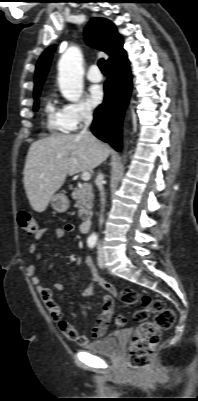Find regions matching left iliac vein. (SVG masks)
I'll list each match as a JSON object with an SVG mask.
<instances>
[{
    "mask_svg": "<svg viewBox=\"0 0 198 401\" xmlns=\"http://www.w3.org/2000/svg\"><path fill=\"white\" fill-rule=\"evenodd\" d=\"M97 261H98L99 267H100L101 269H103L104 266H105V259H104L103 251H102L101 249H99V251H98V258H97Z\"/></svg>",
    "mask_w": 198,
    "mask_h": 401,
    "instance_id": "4c4485c4",
    "label": "left iliac vein"
}]
</instances>
